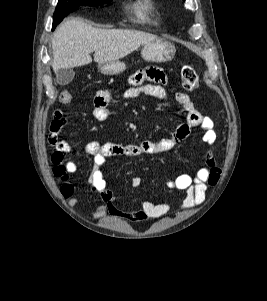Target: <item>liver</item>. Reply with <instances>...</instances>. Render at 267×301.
<instances>
[{
    "instance_id": "6515ba94",
    "label": "liver",
    "mask_w": 267,
    "mask_h": 301,
    "mask_svg": "<svg viewBox=\"0 0 267 301\" xmlns=\"http://www.w3.org/2000/svg\"><path fill=\"white\" fill-rule=\"evenodd\" d=\"M156 35L123 29H98L79 18L64 21L52 39L54 72L59 69L84 66L94 61L98 64L117 61L141 45L157 40Z\"/></svg>"
}]
</instances>
